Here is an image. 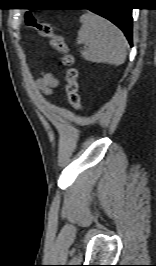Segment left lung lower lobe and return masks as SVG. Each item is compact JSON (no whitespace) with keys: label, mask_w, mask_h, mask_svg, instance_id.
Instances as JSON below:
<instances>
[{"label":"left lung lower lobe","mask_w":156,"mask_h":266,"mask_svg":"<svg viewBox=\"0 0 156 266\" xmlns=\"http://www.w3.org/2000/svg\"><path fill=\"white\" fill-rule=\"evenodd\" d=\"M110 2V0H92L89 3L94 5L88 9L107 18L119 27L132 46V9L121 6L112 7Z\"/></svg>","instance_id":"left-lung-lower-lobe-1"}]
</instances>
